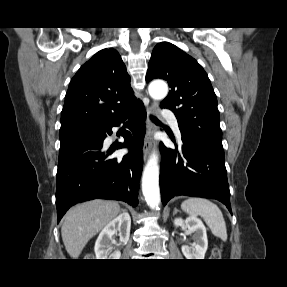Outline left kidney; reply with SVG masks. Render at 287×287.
Returning a JSON list of instances; mask_svg holds the SVG:
<instances>
[{
  "label": "left kidney",
  "instance_id": "1",
  "mask_svg": "<svg viewBox=\"0 0 287 287\" xmlns=\"http://www.w3.org/2000/svg\"><path fill=\"white\" fill-rule=\"evenodd\" d=\"M174 225L186 226L189 233H193L194 243L191 247L187 245L182 246V253L186 259H204L208 248V239L206 228L203 222L196 216H191L183 220L182 218H175Z\"/></svg>",
  "mask_w": 287,
  "mask_h": 287
}]
</instances>
